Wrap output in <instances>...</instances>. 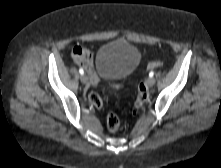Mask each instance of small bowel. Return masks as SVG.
<instances>
[{
	"label": "small bowel",
	"instance_id": "obj_1",
	"mask_svg": "<svg viewBox=\"0 0 221 168\" xmlns=\"http://www.w3.org/2000/svg\"><path fill=\"white\" fill-rule=\"evenodd\" d=\"M72 58L76 64L83 66L87 70L93 84L99 82L97 73L92 69L94 57L88 49L79 46L75 47L72 51Z\"/></svg>",
	"mask_w": 221,
	"mask_h": 168
}]
</instances>
